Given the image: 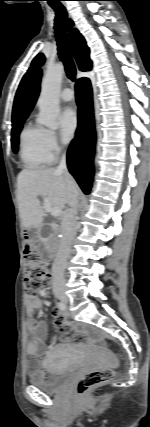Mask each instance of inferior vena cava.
Returning a JSON list of instances; mask_svg holds the SVG:
<instances>
[{
    "mask_svg": "<svg viewBox=\"0 0 150 427\" xmlns=\"http://www.w3.org/2000/svg\"><path fill=\"white\" fill-rule=\"evenodd\" d=\"M63 173L67 180V198L66 203L69 208L65 212L61 222V232L63 234L56 258L52 264V284L53 286L64 284V271L67 259L71 253L72 241L77 232V213H78V191L75 188L71 176L67 169L66 155L63 154L61 161L56 169Z\"/></svg>",
    "mask_w": 150,
    "mask_h": 427,
    "instance_id": "inferior-vena-cava-1",
    "label": "inferior vena cava"
}]
</instances>
